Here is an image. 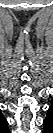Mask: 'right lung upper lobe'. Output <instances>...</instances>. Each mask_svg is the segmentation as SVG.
Returning <instances> with one entry per match:
<instances>
[{"label": "right lung upper lobe", "mask_w": 53, "mask_h": 133, "mask_svg": "<svg viewBox=\"0 0 53 133\" xmlns=\"http://www.w3.org/2000/svg\"><path fill=\"white\" fill-rule=\"evenodd\" d=\"M0 128L8 132V123L3 115H0Z\"/></svg>", "instance_id": "cb5924a9"}]
</instances>
